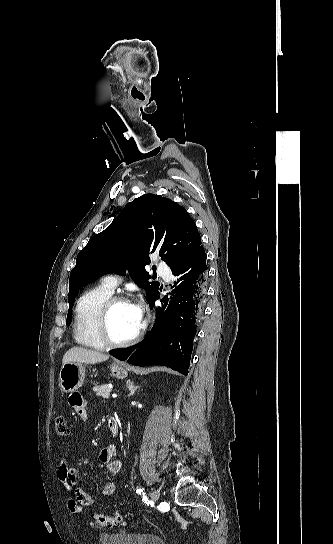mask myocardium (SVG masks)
Wrapping results in <instances>:
<instances>
[{
	"mask_svg": "<svg viewBox=\"0 0 333 544\" xmlns=\"http://www.w3.org/2000/svg\"><path fill=\"white\" fill-rule=\"evenodd\" d=\"M121 303H130L129 299L123 295H112L102 305L97 319V332L102 343L107 347L122 348L134 344L143 333V325L140 324L136 333L130 338L117 341L112 338L109 331V317L113 308Z\"/></svg>",
	"mask_w": 333,
	"mask_h": 544,
	"instance_id": "myocardium-1",
	"label": "myocardium"
}]
</instances>
